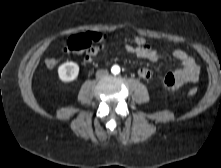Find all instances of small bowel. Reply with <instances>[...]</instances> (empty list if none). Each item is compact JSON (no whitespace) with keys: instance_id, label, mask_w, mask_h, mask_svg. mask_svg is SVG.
Returning <instances> with one entry per match:
<instances>
[{"instance_id":"obj_1","label":"small bowel","mask_w":221,"mask_h":168,"mask_svg":"<svg viewBox=\"0 0 221 168\" xmlns=\"http://www.w3.org/2000/svg\"><path fill=\"white\" fill-rule=\"evenodd\" d=\"M101 50V46L94 47L85 55V62L91 63ZM125 50L138 58L147 59L152 63L158 62L162 57L161 52L152 48L148 44L144 47H136L135 45L126 44ZM173 57L180 62L181 68L169 73L165 77L163 85L167 91L177 93L183 85L198 81L200 76V66L196 63L193 57L183 50H175L173 52ZM137 73L142 79L149 80L152 78V72L147 68H140Z\"/></svg>"}]
</instances>
